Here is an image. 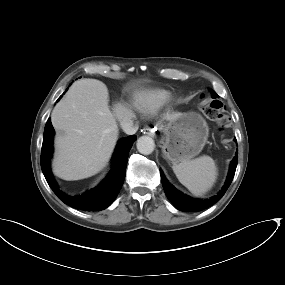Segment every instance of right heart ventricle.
I'll list each match as a JSON object with an SVG mask.
<instances>
[{
	"instance_id": "obj_1",
	"label": "right heart ventricle",
	"mask_w": 285,
	"mask_h": 285,
	"mask_svg": "<svg viewBox=\"0 0 285 285\" xmlns=\"http://www.w3.org/2000/svg\"><path fill=\"white\" fill-rule=\"evenodd\" d=\"M169 99V93L160 89L147 90L138 93L133 104L139 110L146 113H154L161 108Z\"/></svg>"
}]
</instances>
